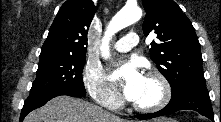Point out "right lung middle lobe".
I'll list each match as a JSON object with an SVG mask.
<instances>
[{
  "label": "right lung middle lobe",
  "mask_w": 221,
  "mask_h": 122,
  "mask_svg": "<svg viewBox=\"0 0 221 122\" xmlns=\"http://www.w3.org/2000/svg\"><path fill=\"white\" fill-rule=\"evenodd\" d=\"M86 57H54L40 59L37 76L30 93L56 88L85 91L82 71Z\"/></svg>",
  "instance_id": "dd1d6c3e"
}]
</instances>
